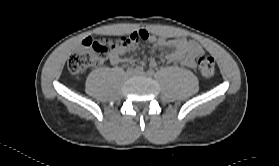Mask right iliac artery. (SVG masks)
<instances>
[{
    "label": "right iliac artery",
    "instance_id": "right-iliac-artery-1",
    "mask_svg": "<svg viewBox=\"0 0 279 166\" xmlns=\"http://www.w3.org/2000/svg\"><path fill=\"white\" fill-rule=\"evenodd\" d=\"M135 70L137 72H142L143 71V67L142 66H136Z\"/></svg>",
    "mask_w": 279,
    "mask_h": 166
}]
</instances>
